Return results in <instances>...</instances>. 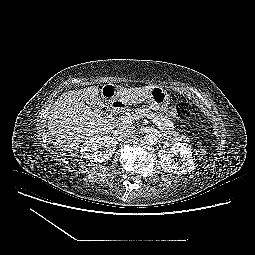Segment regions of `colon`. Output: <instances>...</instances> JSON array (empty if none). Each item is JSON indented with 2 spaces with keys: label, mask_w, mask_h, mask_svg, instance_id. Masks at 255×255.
I'll return each instance as SVG.
<instances>
[{
  "label": "colon",
  "mask_w": 255,
  "mask_h": 255,
  "mask_svg": "<svg viewBox=\"0 0 255 255\" xmlns=\"http://www.w3.org/2000/svg\"><path fill=\"white\" fill-rule=\"evenodd\" d=\"M175 114L181 118L186 119L191 114V108L187 103H178L174 108Z\"/></svg>",
  "instance_id": "5ec220e1"
}]
</instances>
